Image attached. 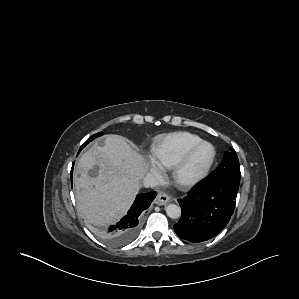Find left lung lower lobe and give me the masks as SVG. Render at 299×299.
I'll return each instance as SVG.
<instances>
[{"instance_id": "obj_1", "label": "left lung lower lobe", "mask_w": 299, "mask_h": 299, "mask_svg": "<svg viewBox=\"0 0 299 299\" xmlns=\"http://www.w3.org/2000/svg\"><path fill=\"white\" fill-rule=\"evenodd\" d=\"M239 182L227 178H206L184 199L178 200L182 214L174 225L176 234L190 242L215 237L229 222L235 207Z\"/></svg>"}]
</instances>
